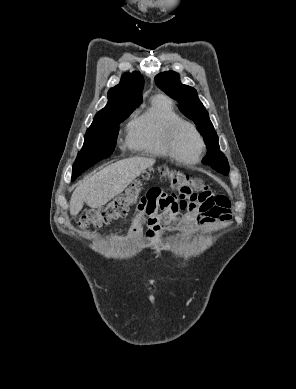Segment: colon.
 Returning <instances> with one entry per match:
<instances>
[{
  "instance_id": "colon-1",
  "label": "colon",
  "mask_w": 296,
  "mask_h": 389,
  "mask_svg": "<svg viewBox=\"0 0 296 389\" xmlns=\"http://www.w3.org/2000/svg\"><path fill=\"white\" fill-rule=\"evenodd\" d=\"M160 173L169 180L179 196L188 197L193 194H205L209 188L201 178L191 177L181 170L162 167ZM142 190V181L133 182L123 194L115 197L107 204L87 211L80 219L79 225L84 228L101 227L114 220L125 218L131 206L139 199Z\"/></svg>"
}]
</instances>
